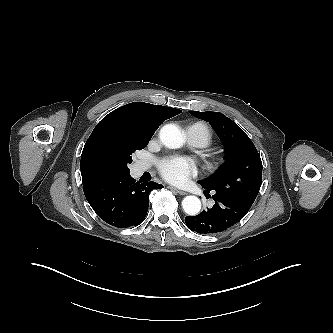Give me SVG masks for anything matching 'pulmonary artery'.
Masks as SVG:
<instances>
[{"mask_svg": "<svg viewBox=\"0 0 333 333\" xmlns=\"http://www.w3.org/2000/svg\"><path fill=\"white\" fill-rule=\"evenodd\" d=\"M186 136L188 144L193 147H205L208 143L204 128L200 124H193L187 127ZM139 170L147 168V164L140 163Z\"/></svg>", "mask_w": 333, "mask_h": 333, "instance_id": "pulmonary-artery-1", "label": "pulmonary artery"}]
</instances>
